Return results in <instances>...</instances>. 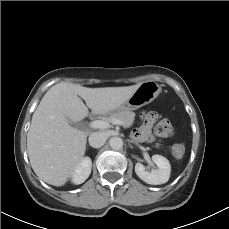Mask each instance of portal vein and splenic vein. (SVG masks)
<instances>
[{
  "label": "portal vein and splenic vein",
  "instance_id": "obj_1",
  "mask_svg": "<svg viewBox=\"0 0 229 229\" xmlns=\"http://www.w3.org/2000/svg\"><path fill=\"white\" fill-rule=\"evenodd\" d=\"M110 123L114 125H123L121 120H113L112 122L95 120L90 123V127L93 129H107L110 127Z\"/></svg>",
  "mask_w": 229,
  "mask_h": 229
}]
</instances>
